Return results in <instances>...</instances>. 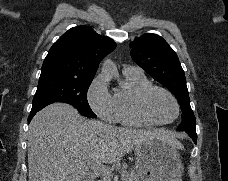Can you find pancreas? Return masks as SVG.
<instances>
[{
    "label": "pancreas",
    "mask_w": 228,
    "mask_h": 181,
    "mask_svg": "<svg viewBox=\"0 0 228 181\" xmlns=\"http://www.w3.org/2000/svg\"><path fill=\"white\" fill-rule=\"evenodd\" d=\"M126 169V167H125ZM125 169H121L120 173L122 175V181H140V175L136 173V171H133V169H130V171H125ZM104 181H111L110 177L108 175H104L102 173ZM112 177V175H111Z\"/></svg>",
    "instance_id": "cf45deb5"
}]
</instances>
